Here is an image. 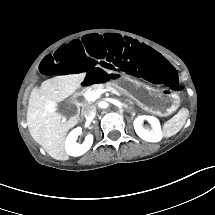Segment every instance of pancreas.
<instances>
[{
    "mask_svg": "<svg viewBox=\"0 0 215 215\" xmlns=\"http://www.w3.org/2000/svg\"><path fill=\"white\" fill-rule=\"evenodd\" d=\"M103 88L109 89L111 91H114L115 94L117 95H125L124 91L120 90L115 84H113L112 82H107L105 84H94L91 85L89 87H86L83 91L82 94H91V91H98L101 90Z\"/></svg>",
    "mask_w": 215,
    "mask_h": 215,
    "instance_id": "cf45deb5",
    "label": "pancreas"
}]
</instances>
